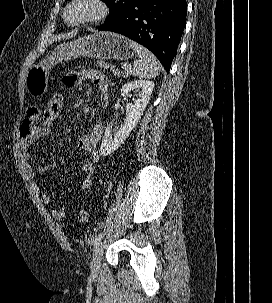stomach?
<instances>
[{"instance_id": "1", "label": "stomach", "mask_w": 272, "mask_h": 303, "mask_svg": "<svg viewBox=\"0 0 272 303\" xmlns=\"http://www.w3.org/2000/svg\"><path fill=\"white\" fill-rule=\"evenodd\" d=\"M133 55L134 49L131 46V41L126 37L110 32L95 33L62 43L29 70L25 81L26 90L34 97L44 95L47 92L51 68L62 61L79 57L127 61Z\"/></svg>"}]
</instances>
